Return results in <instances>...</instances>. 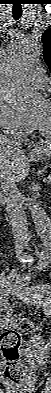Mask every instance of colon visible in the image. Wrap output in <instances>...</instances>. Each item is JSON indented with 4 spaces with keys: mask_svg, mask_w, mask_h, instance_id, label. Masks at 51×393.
Returning <instances> with one entry per match:
<instances>
[{
    "mask_svg": "<svg viewBox=\"0 0 51 393\" xmlns=\"http://www.w3.org/2000/svg\"><path fill=\"white\" fill-rule=\"evenodd\" d=\"M11 326L1 335V350L5 359V377L12 383L19 384L24 381L26 373L20 363L19 348L23 334L39 336L35 326L26 318L12 316Z\"/></svg>",
    "mask_w": 51,
    "mask_h": 393,
    "instance_id": "colon-1",
    "label": "colon"
}]
</instances>
